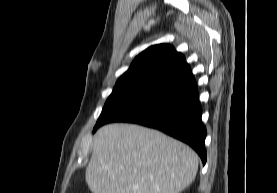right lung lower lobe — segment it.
I'll use <instances>...</instances> for the list:
<instances>
[{"label":"right lung lower lobe","mask_w":277,"mask_h":193,"mask_svg":"<svg viewBox=\"0 0 277 193\" xmlns=\"http://www.w3.org/2000/svg\"><path fill=\"white\" fill-rule=\"evenodd\" d=\"M198 97L196 81L191 75L147 94L106 123L130 122L158 129L190 145L204 165L206 128L201 121Z\"/></svg>","instance_id":"98d812e1"}]
</instances>
